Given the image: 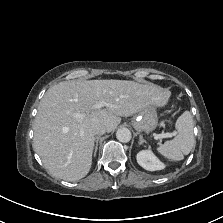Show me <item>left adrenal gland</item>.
Segmentation results:
<instances>
[{"label":"left adrenal gland","mask_w":223,"mask_h":223,"mask_svg":"<svg viewBox=\"0 0 223 223\" xmlns=\"http://www.w3.org/2000/svg\"><path fill=\"white\" fill-rule=\"evenodd\" d=\"M139 144H143V143H146V141L143 139V136L142 135H139Z\"/></svg>","instance_id":"left-adrenal-gland-1"}]
</instances>
